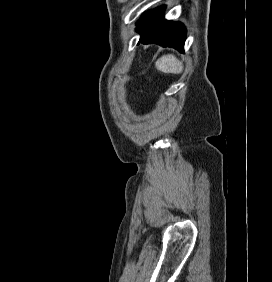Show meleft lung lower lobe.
Wrapping results in <instances>:
<instances>
[{"instance_id":"0a47b994","label":"left lung lower lobe","mask_w":272,"mask_h":282,"mask_svg":"<svg viewBox=\"0 0 272 282\" xmlns=\"http://www.w3.org/2000/svg\"><path fill=\"white\" fill-rule=\"evenodd\" d=\"M164 8H156L144 13L137 23V31L141 33V43H156L183 52L186 29L179 22L167 21L163 18Z\"/></svg>"}]
</instances>
